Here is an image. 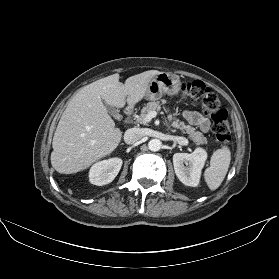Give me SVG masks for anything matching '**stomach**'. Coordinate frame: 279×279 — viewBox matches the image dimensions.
Masks as SVG:
<instances>
[{
  "instance_id": "1",
  "label": "stomach",
  "mask_w": 279,
  "mask_h": 279,
  "mask_svg": "<svg viewBox=\"0 0 279 279\" xmlns=\"http://www.w3.org/2000/svg\"><path fill=\"white\" fill-rule=\"evenodd\" d=\"M180 89L181 82L178 76L161 72L150 82L145 98L156 101L165 94L169 96L177 95Z\"/></svg>"
}]
</instances>
